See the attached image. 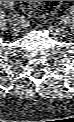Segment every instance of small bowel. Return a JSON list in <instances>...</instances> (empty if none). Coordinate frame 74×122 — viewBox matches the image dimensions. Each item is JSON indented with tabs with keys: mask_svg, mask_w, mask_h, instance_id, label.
I'll return each mask as SVG.
<instances>
[{
	"mask_svg": "<svg viewBox=\"0 0 74 122\" xmlns=\"http://www.w3.org/2000/svg\"><path fill=\"white\" fill-rule=\"evenodd\" d=\"M1 4L3 5V6H6V7H11V6H13V4H14V1H1ZM54 10V9H53ZM53 10H51V11H53ZM50 11V12H51Z\"/></svg>",
	"mask_w": 74,
	"mask_h": 122,
	"instance_id": "small-bowel-1",
	"label": "small bowel"
}]
</instances>
